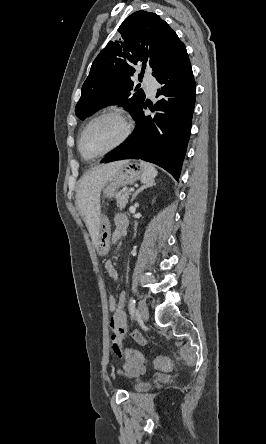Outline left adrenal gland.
Masks as SVG:
<instances>
[{"mask_svg":"<svg viewBox=\"0 0 266 444\" xmlns=\"http://www.w3.org/2000/svg\"><path fill=\"white\" fill-rule=\"evenodd\" d=\"M154 185H156V183L154 182V180H151L150 182H148V183L142 185L140 188H138V189L135 191V193L133 194V196H132L131 203L134 201V199L136 198V196H137L141 191H143L144 189H147V188H149V187H152V186H154Z\"/></svg>","mask_w":266,"mask_h":444,"instance_id":"left-adrenal-gland-1","label":"left adrenal gland"}]
</instances>
